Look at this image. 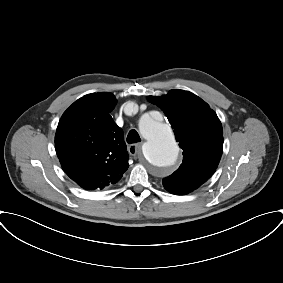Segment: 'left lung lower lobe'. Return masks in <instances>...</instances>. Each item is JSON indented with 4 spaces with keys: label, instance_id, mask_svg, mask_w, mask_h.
Returning a JSON list of instances; mask_svg holds the SVG:
<instances>
[{
    "label": "left lung lower lobe",
    "instance_id": "1",
    "mask_svg": "<svg viewBox=\"0 0 283 283\" xmlns=\"http://www.w3.org/2000/svg\"><path fill=\"white\" fill-rule=\"evenodd\" d=\"M174 194H178V195H184V194H187V193L178 192V193H174Z\"/></svg>",
    "mask_w": 283,
    "mask_h": 283
}]
</instances>
